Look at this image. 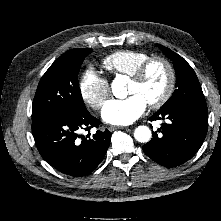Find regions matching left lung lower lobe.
<instances>
[{"label":"left lung lower lobe","mask_w":221,"mask_h":221,"mask_svg":"<svg viewBox=\"0 0 221 221\" xmlns=\"http://www.w3.org/2000/svg\"><path fill=\"white\" fill-rule=\"evenodd\" d=\"M165 118L171 123H163L160 134L154 132L142 149L152 160L170 168L188 161L201 147L207 134L208 109L206 104H184L157 111L150 121Z\"/></svg>","instance_id":"left-lung-lower-lobe-1"}]
</instances>
